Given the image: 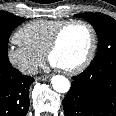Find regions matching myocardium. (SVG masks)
I'll list each match as a JSON object with an SVG mask.
<instances>
[{
    "label": "myocardium",
    "mask_w": 116,
    "mask_h": 116,
    "mask_svg": "<svg viewBox=\"0 0 116 116\" xmlns=\"http://www.w3.org/2000/svg\"><path fill=\"white\" fill-rule=\"evenodd\" d=\"M77 24L83 25L89 30L90 35H91V44H90L88 54L86 55L85 59L80 64H78L77 66L70 68V69H61L62 72L66 75H75V74L81 73L93 61L95 54H96V50H97L98 39H97L96 30L92 26V24H90L88 21H85L82 19H72V20L65 21L63 24H61L56 29L55 33L53 34V36L51 38V41H50L47 49L45 51V57L47 60L50 61L51 54L57 49L64 31L69 26L77 25Z\"/></svg>",
    "instance_id": "1"
}]
</instances>
